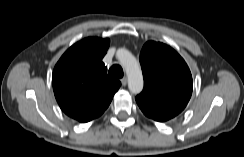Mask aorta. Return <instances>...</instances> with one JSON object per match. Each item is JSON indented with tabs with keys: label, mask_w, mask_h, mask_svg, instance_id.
<instances>
[{
	"label": "aorta",
	"mask_w": 244,
	"mask_h": 157,
	"mask_svg": "<svg viewBox=\"0 0 244 157\" xmlns=\"http://www.w3.org/2000/svg\"><path fill=\"white\" fill-rule=\"evenodd\" d=\"M117 58L126 71L129 90L134 94L140 93L144 82L142 71L136 58L126 49H119Z\"/></svg>",
	"instance_id": "762f6f07"
}]
</instances>
